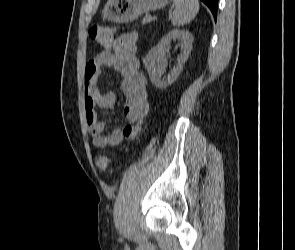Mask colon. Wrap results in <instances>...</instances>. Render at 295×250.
Instances as JSON below:
<instances>
[{
    "mask_svg": "<svg viewBox=\"0 0 295 250\" xmlns=\"http://www.w3.org/2000/svg\"><path fill=\"white\" fill-rule=\"evenodd\" d=\"M115 30L113 27L105 24L93 25L89 29V36L92 40L96 41L101 46L108 47L112 44L114 38ZM109 160L103 155L99 154L97 156V165L101 169H106L108 167Z\"/></svg>",
    "mask_w": 295,
    "mask_h": 250,
    "instance_id": "obj_1",
    "label": "colon"
}]
</instances>
